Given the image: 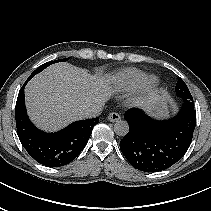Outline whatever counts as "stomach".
Masks as SVG:
<instances>
[{
    "instance_id": "obj_1",
    "label": "stomach",
    "mask_w": 211,
    "mask_h": 211,
    "mask_svg": "<svg viewBox=\"0 0 211 211\" xmlns=\"http://www.w3.org/2000/svg\"><path fill=\"white\" fill-rule=\"evenodd\" d=\"M151 111L154 115L165 116L168 114L167 106L160 95H156Z\"/></svg>"
}]
</instances>
